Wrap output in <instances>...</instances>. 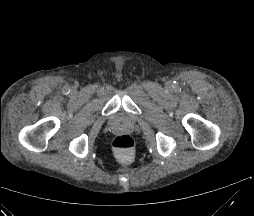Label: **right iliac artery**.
I'll return each instance as SVG.
<instances>
[{
  "label": "right iliac artery",
  "mask_w": 254,
  "mask_h": 216,
  "mask_svg": "<svg viewBox=\"0 0 254 216\" xmlns=\"http://www.w3.org/2000/svg\"><path fill=\"white\" fill-rule=\"evenodd\" d=\"M64 92H65V93H68V92H69V89H68V88H65Z\"/></svg>",
  "instance_id": "obj_1"
}]
</instances>
